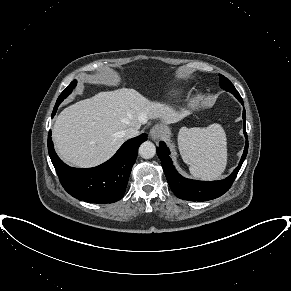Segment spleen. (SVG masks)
I'll list each match as a JSON object with an SVG mask.
<instances>
[{
	"mask_svg": "<svg viewBox=\"0 0 291 291\" xmlns=\"http://www.w3.org/2000/svg\"><path fill=\"white\" fill-rule=\"evenodd\" d=\"M183 161L194 177L204 180L218 178L227 165V138L220 124L207 128L183 127L178 135Z\"/></svg>",
	"mask_w": 291,
	"mask_h": 291,
	"instance_id": "1",
	"label": "spleen"
}]
</instances>
